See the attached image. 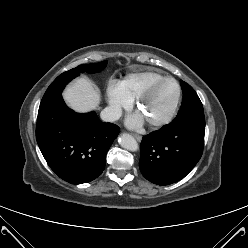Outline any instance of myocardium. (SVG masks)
<instances>
[{"label":"myocardium","mask_w":248,"mask_h":248,"mask_svg":"<svg viewBox=\"0 0 248 248\" xmlns=\"http://www.w3.org/2000/svg\"><path fill=\"white\" fill-rule=\"evenodd\" d=\"M166 82H172L175 84L176 88H177V96H176V100L172 106V108L170 109V111L163 116L160 119L157 120H153V121H148V123L153 126V127H160V126H164L168 123H170L174 117L176 116L181 100H182V89L180 84L178 83L177 80H175L174 78L171 77H165L162 78L154 83H152L144 92H142L137 98H136V107L138 109H140L142 107V105L144 104V102L151 96V94L154 92V90L160 86L163 83Z\"/></svg>","instance_id":"myocardium-1"}]
</instances>
